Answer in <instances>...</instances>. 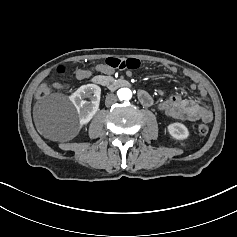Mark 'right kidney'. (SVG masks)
<instances>
[{"label": "right kidney", "mask_w": 237, "mask_h": 237, "mask_svg": "<svg viewBox=\"0 0 237 237\" xmlns=\"http://www.w3.org/2000/svg\"><path fill=\"white\" fill-rule=\"evenodd\" d=\"M101 88L95 84L83 85L69 99L78 112L79 128L88 124L99 110ZM88 98L89 102L82 99Z\"/></svg>", "instance_id": "right-kidney-1"}]
</instances>
